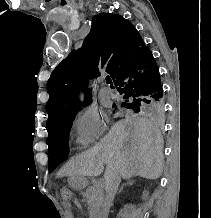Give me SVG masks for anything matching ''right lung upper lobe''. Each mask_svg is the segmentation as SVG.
<instances>
[{
	"label": "right lung upper lobe",
	"mask_w": 211,
	"mask_h": 218,
	"mask_svg": "<svg viewBox=\"0 0 211 218\" xmlns=\"http://www.w3.org/2000/svg\"><path fill=\"white\" fill-rule=\"evenodd\" d=\"M148 50L127 19L118 14L95 15L82 47L72 51L53 70L48 80L47 131L62 117L79 108L78 90L85 91V103L90 101L91 94L86 90L88 79L99 76L100 68H104L114 80Z\"/></svg>",
	"instance_id": "right-lung-upper-lobe-1"
}]
</instances>
